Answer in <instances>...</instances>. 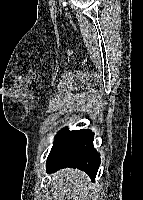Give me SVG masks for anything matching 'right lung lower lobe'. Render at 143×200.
<instances>
[{"label":"right lung lower lobe","mask_w":143,"mask_h":200,"mask_svg":"<svg viewBox=\"0 0 143 200\" xmlns=\"http://www.w3.org/2000/svg\"><path fill=\"white\" fill-rule=\"evenodd\" d=\"M93 139L91 130L68 131L64 128L59 131L47 159V172L71 167L85 171L95 180L101 160L93 146Z\"/></svg>","instance_id":"obj_1"}]
</instances>
